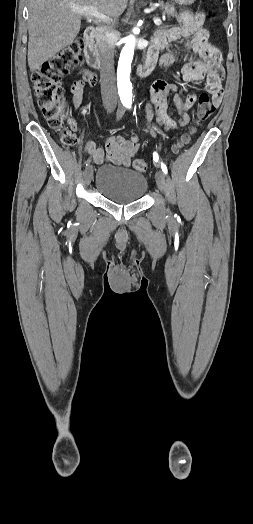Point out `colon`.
<instances>
[{
    "label": "colon",
    "mask_w": 253,
    "mask_h": 524,
    "mask_svg": "<svg viewBox=\"0 0 253 524\" xmlns=\"http://www.w3.org/2000/svg\"><path fill=\"white\" fill-rule=\"evenodd\" d=\"M85 43L82 38H77L60 50L55 56L44 62L31 75V82L38 106L48 125L60 132V140L65 146L76 143L75 135L65 126V98L61 85V78L70 73L80 63L81 53ZM98 83L96 76L85 75L84 79L77 77L68 83L69 92L77 96H83L85 90L91 89L92 85ZM214 113V108L207 94H201L198 99V112L196 122L201 123L209 119ZM194 128L183 134L175 144L173 150L178 152L189 143ZM137 171H145L148 164L143 159L134 162Z\"/></svg>",
    "instance_id": "5ec220e1"
}]
</instances>
